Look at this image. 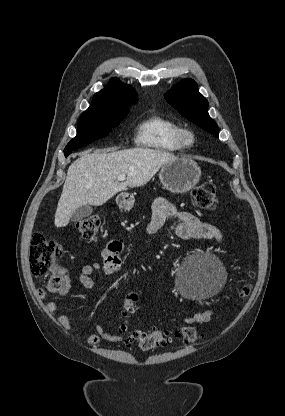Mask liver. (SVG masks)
I'll return each mask as SVG.
<instances>
[{
	"label": "liver",
	"instance_id": "1",
	"mask_svg": "<svg viewBox=\"0 0 285 416\" xmlns=\"http://www.w3.org/2000/svg\"><path fill=\"white\" fill-rule=\"evenodd\" d=\"M87 150L68 168L63 192L55 214L56 228H65L77 208L103 206L118 192L140 188L150 182L160 168L177 156L165 150L131 148L111 152ZM127 176L126 182H115L117 176Z\"/></svg>",
	"mask_w": 285,
	"mask_h": 416
}]
</instances>
